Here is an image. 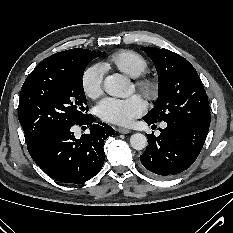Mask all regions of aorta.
I'll return each mask as SVG.
<instances>
[{
  "instance_id": "762f6f07",
  "label": "aorta",
  "mask_w": 233,
  "mask_h": 233,
  "mask_svg": "<svg viewBox=\"0 0 233 233\" xmlns=\"http://www.w3.org/2000/svg\"><path fill=\"white\" fill-rule=\"evenodd\" d=\"M104 89L107 94L115 97H127L132 93L130 81L120 74L109 75L105 78ZM131 147L142 150L147 145V137L141 133H135L130 137Z\"/></svg>"
}]
</instances>
